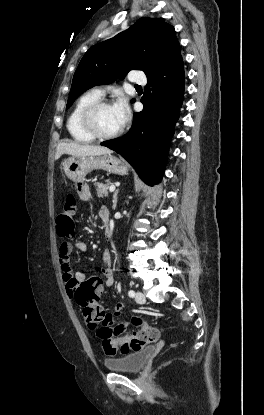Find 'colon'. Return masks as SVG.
<instances>
[{"label":"colon","mask_w":264,"mask_h":415,"mask_svg":"<svg viewBox=\"0 0 264 415\" xmlns=\"http://www.w3.org/2000/svg\"><path fill=\"white\" fill-rule=\"evenodd\" d=\"M76 200L70 195L57 217L56 231L61 239L70 240L75 234L74 215ZM100 285L96 279H88L79 285L76 292V303L81 310L87 327L95 331L101 339V346L107 355H115L138 351L159 339V331L155 327L143 324L139 317L133 322L139 329L123 337H114L105 326L106 314L99 305Z\"/></svg>","instance_id":"colon-1"}]
</instances>
